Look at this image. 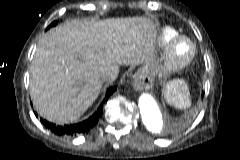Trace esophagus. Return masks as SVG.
Segmentation results:
<instances>
[{
    "label": "esophagus",
    "instance_id": "obj_1",
    "mask_svg": "<svg viewBox=\"0 0 240 160\" xmlns=\"http://www.w3.org/2000/svg\"><path fill=\"white\" fill-rule=\"evenodd\" d=\"M152 86L153 79L146 72H141L134 79L133 88L136 91L148 90Z\"/></svg>",
    "mask_w": 240,
    "mask_h": 160
}]
</instances>
